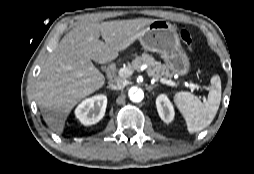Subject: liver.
<instances>
[{"label":"liver","instance_id":"1","mask_svg":"<svg viewBox=\"0 0 254 174\" xmlns=\"http://www.w3.org/2000/svg\"><path fill=\"white\" fill-rule=\"evenodd\" d=\"M155 19L138 18L82 23L68 32L43 65L36 83V100L44 121L57 133L83 98L100 89L104 75L92 60H114L147 30ZM100 35L105 42L100 41Z\"/></svg>","mask_w":254,"mask_h":174}]
</instances>
